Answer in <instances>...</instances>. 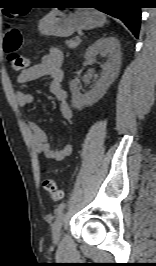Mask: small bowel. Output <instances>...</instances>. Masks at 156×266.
Here are the masks:
<instances>
[{
  "instance_id": "c3829d8e",
  "label": "small bowel",
  "mask_w": 156,
  "mask_h": 266,
  "mask_svg": "<svg viewBox=\"0 0 156 266\" xmlns=\"http://www.w3.org/2000/svg\"><path fill=\"white\" fill-rule=\"evenodd\" d=\"M63 53L57 48H52L48 54L43 56L41 61L21 72L17 77L19 84H25L38 78L48 76L50 78V91L60 102V113L67 122L73 121V112L67 103V92L63 88ZM16 101L20 107H24L33 102V95L27 91L19 90L16 93ZM29 127L32 134V140L38 155L52 160H62L69 156L73 151V144L67 143L59 149L52 148L49 138L39 124L31 120Z\"/></svg>"
}]
</instances>
